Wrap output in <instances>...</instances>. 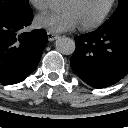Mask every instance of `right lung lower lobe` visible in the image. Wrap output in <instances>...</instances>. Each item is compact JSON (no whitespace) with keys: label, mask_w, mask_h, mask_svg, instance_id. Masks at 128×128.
Wrapping results in <instances>:
<instances>
[{"label":"right lung lower lobe","mask_w":128,"mask_h":128,"mask_svg":"<svg viewBox=\"0 0 128 128\" xmlns=\"http://www.w3.org/2000/svg\"><path fill=\"white\" fill-rule=\"evenodd\" d=\"M32 14L12 19L0 18V82L23 81L37 67L47 43L44 30L20 33L30 25Z\"/></svg>","instance_id":"98d812e1"}]
</instances>
